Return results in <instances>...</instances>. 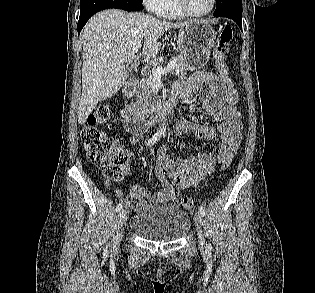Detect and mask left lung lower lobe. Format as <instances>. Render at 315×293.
I'll use <instances>...</instances> for the list:
<instances>
[{
  "mask_svg": "<svg viewBox=\"0 0 315 293\" xmlns=\"http://www.w3.org/2000/svg\"><path fill=\"white\" fill-rule=\"evenodd\" d=\"M222 17H227V18L233 19L242 30V15L225 14V15H222Z\"/></svg>",
  "mask_w": 315,
  "mask_h": 293,
  "instance_id": "obj_1",
  "label": "left lung lower lobe"
}]
</instances>
